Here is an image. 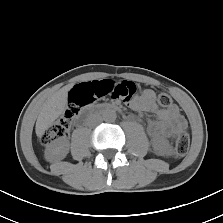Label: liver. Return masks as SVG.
Returning <instances> with one entry per match:
<instances>
[{"instance_id": "1", "label": "liver", "mask_w": 223, "mask_h": 223, "mask_svg": "<svg viewBox=\"0 0 223 223\" xmlns=\"http://www.w3.org/2000/svg\"><path fill=\"white\" fill-rule=\"evenodd\" d=\"M72 85H66L53 94L43 104L36 121V135L42 137L45 131L51 127L54 121L63 113L67 106L68 92Z\"/></svg>"}]
</instances>
